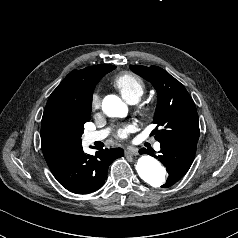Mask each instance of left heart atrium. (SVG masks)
Instances as JSON below:
<instances>
[{
    "instance_id": "1",
    "label": "left heart atrium",
    "mask_w": 238,
    "mask_h": 238,
    "mask_svg": "<svg viewBox=\"0 0 238 238\" xmlns=\"http://www.w3.org/2000/svg\"><path fill=\"white\" fill-rule=\"evenodd\" d=\"M130 129H131V127L130 126H123V127H121V128H119L118 130H117V136L119 137V138H126L127 137V135H128V133H129V131H130Z\"/></svg>"
}]
</instances>
